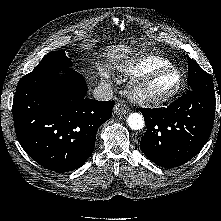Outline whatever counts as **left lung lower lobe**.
<instances>
[{
	"label": "left lung lower lobe",
	"mask_w": 221,
	"mask_h": 221,
	"mask_svg": "<svg viewBox=\"0 0 221 221\" xmlns=\"http://www.w3.org/2000/svg\"><path fill=\"white\" fill-rule=\"evenodd\" d=\"M216 99L191 90L167 108H141L147 131L140 148L158 166L176 167L190 161L206 144L213 127Z\"/></svg>",
	"instance_id": "obj_1"
}]
</instances>
